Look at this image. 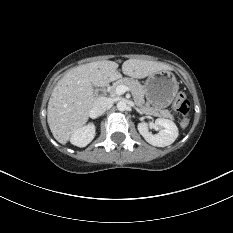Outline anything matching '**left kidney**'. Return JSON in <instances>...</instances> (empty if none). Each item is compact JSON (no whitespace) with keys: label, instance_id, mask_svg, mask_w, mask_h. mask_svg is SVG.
<instances>
[{"label":"left kidney","instance_id":"1","mask_svg":"<svg viewBox=\"0 0 233 233\" xmlns=\"http://www.w3.org/2000/svg\"><path fill=\"white\" fill-rule=\"evenodd\" d=\"M155 124L162 128L156 135L149 132L147 123L138 124L139 133L149 144L157 147H165L171 145L178 137V128L173 121L158 118Z\"/></svg>","mask_w":233,"mask_h":233}]
</instances>
